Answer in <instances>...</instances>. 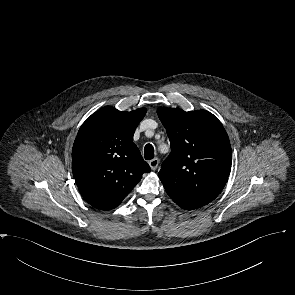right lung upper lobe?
<instances>
[{
  "label": "right lung upper lobe",
  "mask_w": 295,
  "mask_h": 295,
  "mask_svg": "<svg viewBox=\"0 0 295 295\" xmlns=\"http://www.w3.org/2000/svg\"><path fill=\"white\" fill-rule=\"evenodd\" d=\"M145 108L127 112L107 106L81 126L72 150V170L83 198L93 207L110 210L119 206L150 172L132 142Z\"/></svg>",
  "instance_id": "1"
}]
</instances>
